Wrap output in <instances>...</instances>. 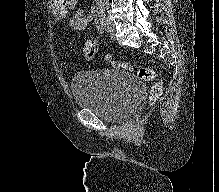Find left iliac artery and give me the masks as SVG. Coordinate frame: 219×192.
<instances>
[{"label":"left iliac artery","instance_id":"1","mask_svg":"<svg viewBox=\"0 0 219 192\" xmlns=\"http://www.w3.org/2000/svg\"><path fill=\"white\" fill-rule=\"evenodd\" d=\"M98 18L100 21V24L102 25L103 28L106 29V16H105V5H99L98 7Z\"/></svg>","mask_w":219,"mask_h":192}]
</instances>
